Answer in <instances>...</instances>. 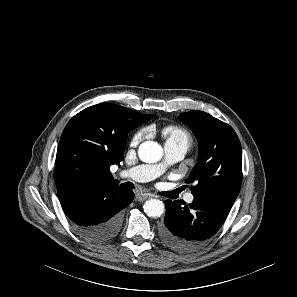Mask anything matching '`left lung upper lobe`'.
Listing matches in <instances>:
<instances>
[{"label":"left lung upper lobe","instance_id":"obj_1","mask_svg":"<svg viewBox=\"0 0 297 297\" xmlns=\"http://www.w3.org/2000/svg\"><path fill=\"white\" fill-rule=\"evenodd\" d=\"M199 142L198 163L186 183L194 198H236L242 182V152L239 138L228 124L203 111L182 113Z\"/></svg>","mask_w":297,"mask_h":297}]
</instances>
